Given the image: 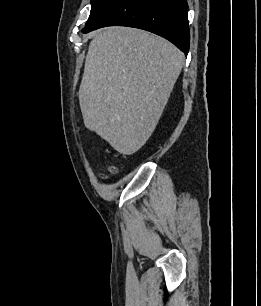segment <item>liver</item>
Masks as SVG:
<instances>
[{"instance_id": "obj_1", "label": "liver", "mask_w": 261, "mask_h": 306, "mask_svg": "<svg viewBox=\"0 0 261 306\" xmlns=\"http://www.w3.org/2000/svg\"><path fill=\"white\" fill-rule=\"evenodd\" d=\"M184 54L157 35L129 27L91 41L79 103L86 128L132 155L153 133L184 65Z\"/></svg>"}]
</instances>
